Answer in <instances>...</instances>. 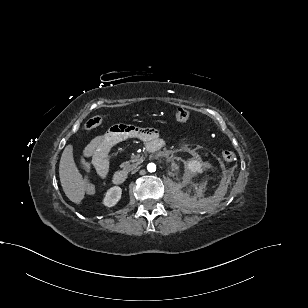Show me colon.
<instances>
[{
  "label": "colon",
  "instance_id": "obj_1",
  "mask_svg": "<svg viewBox=\"0 0 308 308\" xmlns=\"http://www.w3.org/2000/svg\"><path fill=\"white\" fill-rule=\"evenodd\" d=\"M173 117L176 122L185 123L189 119V112L182 107H178L174 110ZM103 121L104 118L102 116H93L85 123L84 126L85 130L91 131L100 126ZM222 156L226 162H232L235 160L236 157L235 153L231 150H225L222 153ZM95 192H96L95 184L92 181L88 180L85 183V193L88 196H92L95 194Z\"/></svg>",
  "mask_w": 308,
  "mask_h": 308
}]
</instances>
